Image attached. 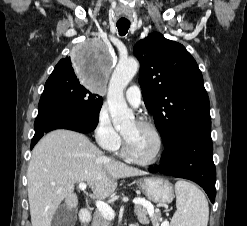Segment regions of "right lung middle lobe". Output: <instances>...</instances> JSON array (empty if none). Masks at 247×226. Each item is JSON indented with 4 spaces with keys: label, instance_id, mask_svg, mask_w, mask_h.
<instances>
[{
    "label": "right lung middle lobe",
    "instance_id": "dd1d6c3e",
    "mask_svg": "<svg viewBox=\"0 0 247 226\" xmlns=\"http://www.w3.org/2000/svg\"><path fill=\"white\" fill-rule=\"evenodd\" d=\"M72 62L70 60L69 63L54 68L46 81L42 96L56 97L80 111L99 118L103 99L91 89L80 86L76 70H72Z\"/></svg>",
    "mask_w": 247,
    "mask_h": 226
}]
</instances>
